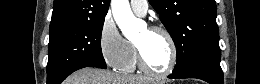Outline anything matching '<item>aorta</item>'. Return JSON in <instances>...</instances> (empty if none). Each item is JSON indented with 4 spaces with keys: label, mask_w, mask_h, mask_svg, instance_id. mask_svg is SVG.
Here are the masks:
<instances>
[{
    "label": "aorta",
    "mask_w": 260,
    "mask_h": 84,
    "mask_svg": "<svg viewBox=\"0 0 260 84\" xmlns=\"http://www.w3.org/2000/svg\"><path fill=\"white\" fill-rule=\"evenodd\" d=\"M111 9L114 20L123 35L128 39H132L141 27V21L134 16L129 1L112 0Z\"/></svg>",
    "instance_id": "1"
}]
</instances>
